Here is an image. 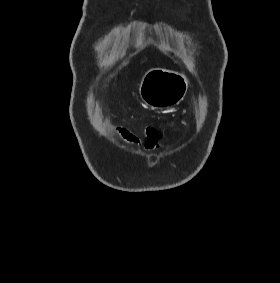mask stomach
<instances>
[{"label": "stomach", "mask_w": 280, "mask_h": 283, "mask_svg": "<svg viewBox=\"0 0 280 283\" xmlns=\"http://www.w3.org/2000/svg\"><path fill=\"white\" fill-rule=\"evenodd\" d=\"M188 80L185 75L162 68L148 70L142 77L139 94L149 106L165 109L179 104L185 97Z\"/></svg>", "instance_id": "obj_1"}]
</instances>
